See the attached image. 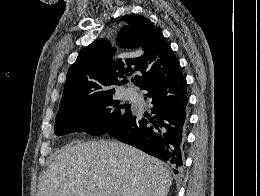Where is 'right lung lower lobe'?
Here are the masks:
<instances>
[{
	"instance_id": "obj_1",
	"label": "right lung lower lobe",
	"mask_w": 260,
	"mask_h": 196,
	"mask_svg": "<svg viewBox=\"0 0 260 196\" xmlns=\"http://www.w3.org/2000/svg\"><path fill=\"white\" fill-rule=\"evenodd\" d=\"M186 86V78L179 69L174 76L143 88L146 91L145 100L151 102L149 110L152 116L136 113L108 134L169 162L174 172L178 173L183 165L187 125Z\"/></svg>"
}]
</instances>
